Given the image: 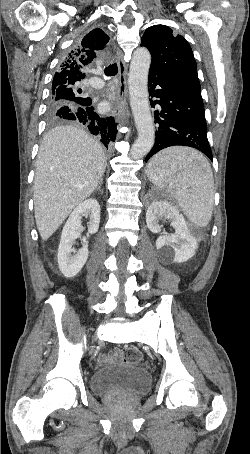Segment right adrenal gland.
I'll use <instances>...</instances> for the list:
<instances>
[{"label":"right adrenal gland","mask_w":250,"mask_h":454,"mask_svg":"<svg viewBox=\"0 0 250 454\" xmlns=\"http://www.w3.org/2000/svg\"><path fill=\"white\" fill-rule=\"evenodd\" d=\"M101 186H102V181L99 182L96 190L99 191L100 193H103L102 189H101Z\"/></svg>","instance_id":"1"}]
</instances>
